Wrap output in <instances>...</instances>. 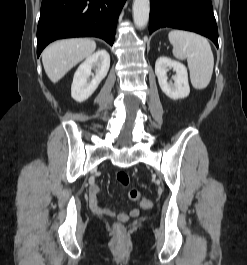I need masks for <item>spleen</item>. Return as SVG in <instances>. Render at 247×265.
<instances>
[{"label": "spleen", "instance_id": "obj_1", "mask_svg": "<svg viewBox=\"0 0 247 265\" xmlns=\"http://www.w3.org/2000/svg\"><path fill=\"white\" fill-rule=\"evenodd\" d=\"M177 59H187L190 79L197 90L205 89L211 80L214 57L208 40L196 33L173 30L168 35Z\"/></svg>", "mask_w": 247, "mask_h": 265}]
</instances>
